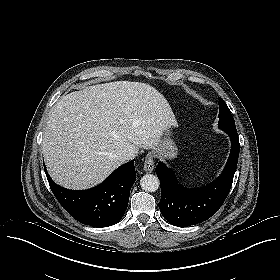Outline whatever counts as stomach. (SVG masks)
Returning <instances> with one entry per match:
<instances>
[{"label": "stomach", "mask_w": 280, "mask_h": 280, "mask_svg": "<svg viewBox=\"0 0 280 280\" xmlns=\"http://www.w3.org/2000/svg\"><path fill=\"white\" fill-rule=\"evenodd\" d=\"M151 153L154 157L161 160H172L177 157L178 148L171 138L170 129L163 133L158 146Z\"/></svg>", "instance_id": "stomach-1"}]
</instances>
